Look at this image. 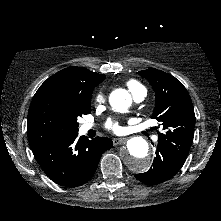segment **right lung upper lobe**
<instances>
[{
	"label": "right lung upper lobe",
	"mask_w": 221,
	"mask_h": 221,
	"mask_svg": "<svg viewBox=\"0 0 221 221\" xmlns=\"http://www.w3.org/2000/svg\"><path fill=\"white\" fill-rule=\"evenodd\" d=\"M105 79V75L94 73L84 67L71 66L48 78L37 90L34 97L47 92H73L89 96L93 89Z\"/></svg>",
	"instance_id": "cb5924a9"
}]
</instances>
